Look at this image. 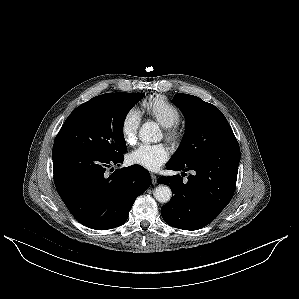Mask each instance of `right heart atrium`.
<instances>
[{
  "mask_svg": "<svg viewBox=\"0 0 299 299\" xmlns=\"http://www.w3.org/2000/svg\"><path fill=\"white\" fill-rule=\"evenodd\" d=\"M141 123V115L135 108L128 110L121 121V135L128 145H133L137 140Z\"/></svg>",
  "mask_w": 299,
  "mask_h": 299,
  "instance_id": "1",
  "label": "right heart atrium"
}]
</instances>
